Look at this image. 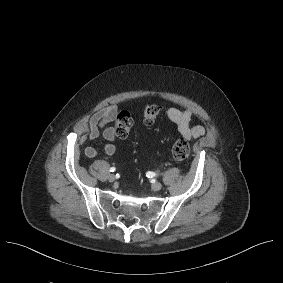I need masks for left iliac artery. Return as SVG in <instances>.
<instances>
[{
  "instance_id": "left-iliac-artery-1",
  "label": "left iliac artery",
  "mask_w": 283,
  "mask_h": 283,
  "mask_svg": "<svg viewBox=\"0 0 283 283\" xmlns=\"http://www.w3.org/2000/svg\"><path fill=\"white\" fill-rule=\"evenodd\" d=\"M148 175H149V176H151V177H153V176H155V175H156V173L148 172Z\"/></svg>"
}]
</instances>
